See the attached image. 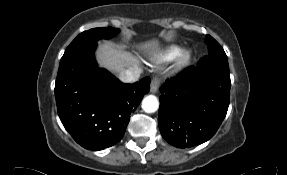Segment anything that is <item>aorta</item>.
<instances>
[{
	"instance_id": "aorta-1",
	"label": "aorta",
	"mask_w": 287,
	"mask_h": 175,
	"mask_svg": "<svg viewBox=\"0 0 287 175\" xmlns=\"http://www.w3.org/2000/svg\"><path fill=\"white\" fill-rule=\"evenodd\" d=\"M159 108V101L154 95H149L142 100V109L146 113H153Z\"/></svg>"
}]
</instances>
